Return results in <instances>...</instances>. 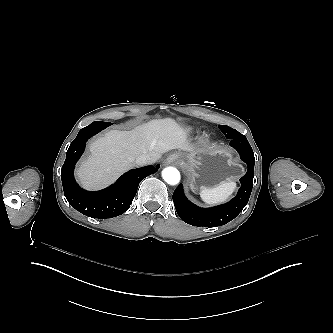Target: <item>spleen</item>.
Masks as SVG:
<instances>
[{"label": "spleen", "mask_w": 333, "mask_h": 333, "mask_svg": "<svg viewBox=\"0 0 333 333\" xmlns=\"http://www.w3.org/2000/svg\"><path fill=\"white\" fill-rule=\"evenodd\" d=\"M236 188L237 184L235 181H222L214 187L204 188L200 192V197L206 204H219L227 201Z\"/></svg>", "instance_id": "3e777b00"}]
</instances>
